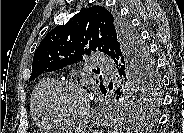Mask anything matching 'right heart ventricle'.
Instances as JSON below:
<instances>
[{
    "label": "right heart ventricle",
    "mask_w": 184,
    "mask_h": 133,
    "mask_svg": "<svg viewBox=\"0 0 184 133\" xmlns=\"http://www.w3.org/2000/svg\"><path fill=\"white\" fill-rule=\"evenodd\" d=\"M56 82L54 77L48 76L43 78L35 87L32 100H31V108L32 114L36 122L43 127H51L54 123L51 119L46 115L43 108V98L46 91Z\"/></svg>",
    "instance_id": "right-heart-ventricle-1"
}]
</instances>
